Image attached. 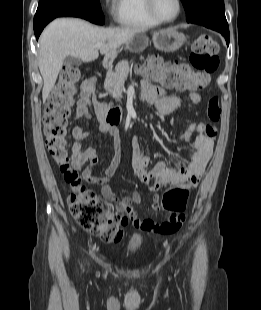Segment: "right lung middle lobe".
Here are the masks:
<instances>
[{"label": "right lung middle lobe", "instance_id": "dd1d6c3e", "mask_svg": "<svg viewBox=\"0 0 261 310\" xmlns=\"http://www.w3.org/2000/svg\"><path fill=\"white\" fill-rule=\"evenodd\" d=\"M62 16L80 17L99 25L105 22L99 0H39L34 26Z\"/></svg>", "mask_w": 261, "mask_h": 310}]
</instances>
